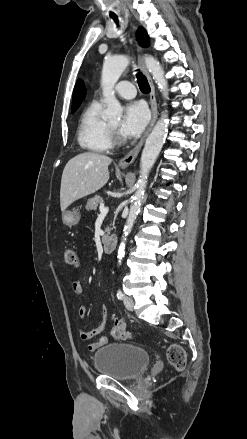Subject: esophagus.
<instances>
[{"mask_svg": "<svg viewBox=\"0 0 247 439\" xmlns=\"http://www.w3.org/2000/svg\"><path fill=\"white\" fill-rule=\"evenodd\" d=\"M138 51L141 52V47L138 46ZM139 66L140 69L142 70V72L145 74V76L147 77L148 83L150 85V104H151V110H152V119L151 122L147 128V130L145 131L143 137L141 138V140L138 142V144L124 157L119 161V167L122 169L128 168L133 162L134 160L137 158L144 142L145 139L147 138L148 134L150 133L152 127L154 126L157 117H158V107H157V101H156V96H155V87L152 81V78L148 72V69L144 63L143 60L139 61Z\"/></svg>", "mask_w": 247, "mask_h": 439, "instance_id": "esophagus-1", "label": "esophagus"}]
</instances>
